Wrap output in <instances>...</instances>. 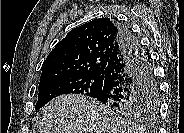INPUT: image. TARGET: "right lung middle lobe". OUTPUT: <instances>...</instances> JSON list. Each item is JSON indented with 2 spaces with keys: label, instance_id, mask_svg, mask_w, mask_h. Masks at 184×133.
Listing matches in <instances>:
<instances>
[{
  "label": "right lung middle lobe",
  "instance_id": "obj_1",
  "mask_svg": "<svg viewBox=\"0 0 184 133\" xmlns=\"http://www.w3.org/2000/svg\"><path fill=\"white\" fill-rule=\"evenodd\" d=\"M104 76L85 75L64 77L55 79L39 87L38 101L35 110L42 108L53 98L63 94H82L95 97L103 87ZM151 87L147 93L146 99L135 104L105 106L109 111H115L131 116H155L158 109V87L152 78Z\"/></svg>",
  "mask_w": 184,
  "mask_h": 133
}]
</instances>
